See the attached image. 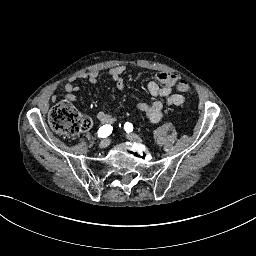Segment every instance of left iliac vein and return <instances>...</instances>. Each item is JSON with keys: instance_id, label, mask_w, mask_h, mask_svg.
Masks as SVG:
<instances>
[{"instance_id": "1", "label": "left iliac vein", "mask_w": 256, "mask_h": 256, "mask_svg": "<svg viewBox=\"0 0 256 256\" xmlns=\"http://www.w3.org/2000/svg\"><path fill=\"white\" fill-rule=\"evenodd\" d=\"M125 137H126V139H128L130 141H135V142H141L142 141V139L134 133H128V134H126Z\"/></svg>"}]
</instances>
